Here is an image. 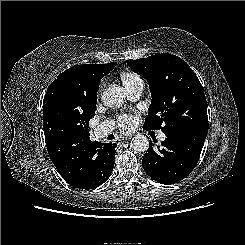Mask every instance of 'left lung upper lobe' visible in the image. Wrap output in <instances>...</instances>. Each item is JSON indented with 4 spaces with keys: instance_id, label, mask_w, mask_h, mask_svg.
<instances>
[{
    "instance_id": "5c2ea615",
    "label": "left lung upper lobe",
    "mask_w": 245,
    "mask_h": 245,
    "mask_svg": "<svg viewBox=\"0 0 245 245\" xmlns=\"http://www.w3.org/2000/svg\"><path fill=\"white\" fill-rule=\"evenodd\" d=\"M148 81L152 95L145 129H161L167 136L190 131L208 132L206 98L189 65L169 53L127 60Z\"/></svg>"
}]
</instances>
